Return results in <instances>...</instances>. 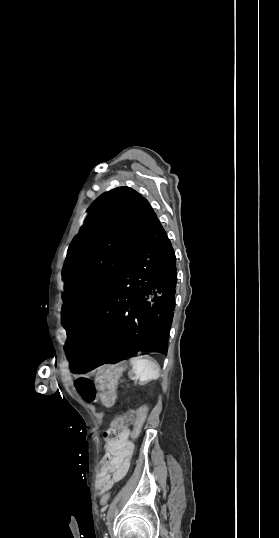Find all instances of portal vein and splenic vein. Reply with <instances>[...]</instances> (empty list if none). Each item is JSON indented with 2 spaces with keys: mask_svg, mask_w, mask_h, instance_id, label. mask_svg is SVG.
I'll use <instances>...</instances> for the list:
<instances>
[{
  "mask_svg": "<svg viewBox=\"0 0 279 538\" xmlns=\"http://www.w3.org/2000/svg\"><path fill=\"white\" fill-rule=\"evenodd\" d=\"M133 384H138V381H133Z\"/></svg>",
  "mask_w": 279,
  "mask_h": 538,
  "instance_id": "18ae733b",
  "label": "portal vein and splenic vein"
}]
</instances>
